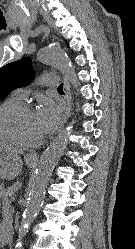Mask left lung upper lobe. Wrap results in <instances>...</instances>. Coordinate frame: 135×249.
I'll list each match as a JSON object with an SVG mask.
<instances>
[{"label":"left lung upper lobe","mask_w":135,"mask_h":249,"mask_svg":"<svg viewBox=\"0 0 135 249\" xmlns=\"http://www.w3.org/2000/svg\"><path fill=\"white\" fill-rule=\"evenodd\" d=\"M34 76L32 61L28 57L2 67L0 69V100L12 90L29 85Z\"/></svg>","instance_id":"obj_1"}]
</instances>
